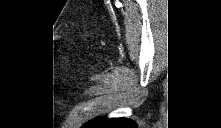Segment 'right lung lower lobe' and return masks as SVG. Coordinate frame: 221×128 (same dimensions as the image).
Here are the masks:
<instances>
[{
  "label": "right lung lower lobe",
  "instance_id": "1",
  "mask_svg": "<svg viewBox=\"0 0 221 128\" xmlns=\"http://www.w3.org/2000/svg\"><path fill=\"white\" fill-rule=\"evenodd\" d=\"M86 128H136V124L124 118H99L88 122Z\"/></svg>",
  "mask_w": 221,
  "mask_h": 128
}]
</instances>
